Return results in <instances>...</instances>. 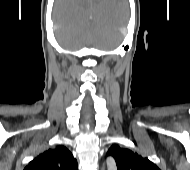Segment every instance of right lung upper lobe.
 I'll return each instance as SVG.
<instances>
[{"mask_svg": "<svg viewBox=\"0 0 190 170\" xmlns=\"http://www.w3.org/2000/svg\"><path fill=\"white\" fill-rule=\"evenodd\" d=\"M24 170H78L77 160L64 146L49 149L33 159Z\"/></svg>", "mask_w": 190, "mask_h": 170, "instance_id": "cb5924a9", "label": "right lung upper lobe"}]
</instances>
